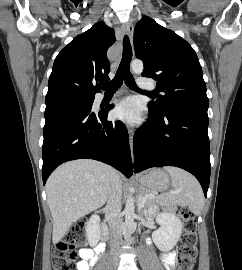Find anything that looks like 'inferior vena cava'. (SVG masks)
<instances>
[{"mask_svg":"<svg viewBox=\"0 0 242 270\" xmlns=\"http://www.w3.org/2000/svg\"><path fill=\"white\" fill-rule=\"evenodd\" d=\"M114 178L107 199L106 216L109 223L111 238L110 244L113 250L117 249L122 241L123 223L120 219L122 183L118 179V172L112 169Z\"/></svg>","mask_w":242,"mask_h":270,"instance_id":"obj_1","label":"inferior vena cava"}]
</instances>
